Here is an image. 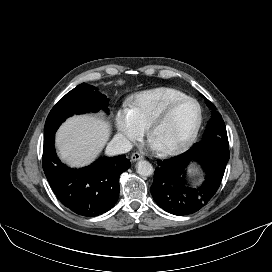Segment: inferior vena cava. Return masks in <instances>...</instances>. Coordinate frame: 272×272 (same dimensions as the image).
Instances as JSON below:
<instances>
[{"label":"inferior vena cava","instance_id":"1","mask_svg":"<svg viewBox=\"0 0 272 272\" xmlns=\"http://www.w3.org/2000/svg\"><path fill=\"white\" fill-rule=\"evenodd\" d=\"M132 149L131 142L121 134H116L106 147L108 156L124 154Z\"/></svg>","mask_w":272,"mask_h":272}]
</instances>
